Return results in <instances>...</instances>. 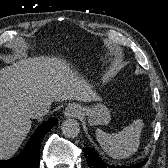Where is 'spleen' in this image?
I'll list each match as a JSON object with an SVG mask.
<instances>
[{"mask_svg": "<svg viewBox=\"0 0 168 168\" xmlns=\"http://www.w3.org/2000/svg\"><path fill=\"white\" fill-rule=\"evenodd\" d=\"M143 125V121L137 119L118 133L108 134L97 129L96 138L102 149L110 157L125 159L138 150Z\"/></svg>", "mask_w": 168, "mask_h": 168, "instance_id": "1", "label": "spleen"}]
</instances>
